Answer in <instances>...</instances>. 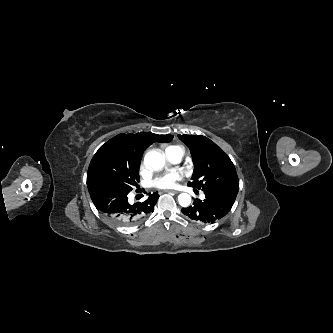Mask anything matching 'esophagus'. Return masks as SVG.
Segmentation results:
<instances>
[{
    "label": "esophagus",
    "instance_id": "obj_1",
    "mask_svg": "<svg viewBox=\"0 0 333 333\" xmlns=\"http://www.w3.org/2000/svg\"><path fill=\"white\" fill-rule=\"evenodd\" d=\"M167 193L178 194V191L175 190H166Z\"/></svg>",
    "mask_w": 333,
    "mask_h": 333
}]
</instances>
